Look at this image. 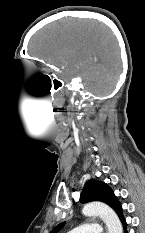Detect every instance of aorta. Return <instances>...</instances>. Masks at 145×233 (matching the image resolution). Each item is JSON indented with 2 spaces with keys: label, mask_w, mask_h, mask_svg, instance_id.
I'll use <instances>...</instances> for the list:
<instances>
[{
  "label": "aorta",
  "mask_w": 145,
  "mask_h": 233,
  "mask_svg": "<svg viewBox=\"0 0 145 233\" xmlns=\"http://www.w3.org/2000/svg\"><path fill=\"white\" fill-rule=\"evenodd\" d=\"M82 214L88 217L99 216L105 222L108 233H123V227L119 217L104 203H88L83 207Z\"/></svg>",
  "instance_id": "762f6f07"
}]
</instances>
